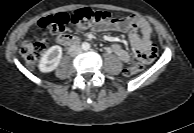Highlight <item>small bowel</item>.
I'll return each mask as SVG.
<instances>
[{
    "mask_svg": "<svg viewBox=\"0 0 194 133\" xmlns=\"http://www.w3.org/2000/svg\"><path fill=\"white\" fill-rule=\"evenodd\" d=\"M94 29L96 31L127 33L132 50L138 60L140 59V53L155 54L156 52L155 46L152 42V27L140 16L130 15L122 19H117L114 23L109 25L95 26ZM111 50L123 63H130L131 58L129 53L119 44H113Z\"/></svg>",
    "mask_w": 194,
    "mask_h": 133,
    "instance_id": "obj_1",
    "label": "small bowel"
}]
</instances>
